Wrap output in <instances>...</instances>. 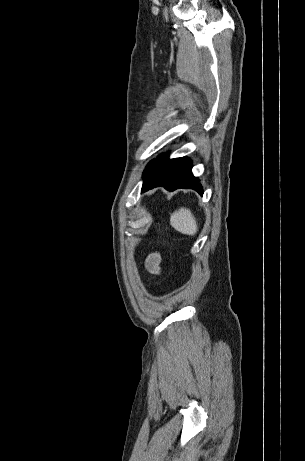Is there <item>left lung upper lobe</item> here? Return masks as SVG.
I'll use <instances>...</instances> for the list:
<instances>
[{"mask_svg": "<svg viewBox=\"0 0 305 461\" xmlns=\"http://www.w3.org/2000/svg\"><path fill=\"white\" fill-rule=\"evenodd\" d=\"M151 166H152V161L147 165V167H146V169L144 171L143 177L149 172Z\"/></svg>", "mask_w": 305, "mask_h": 461, "instance_id": "obj_1", "label": "left lung upper lobe"}]
</instances>
